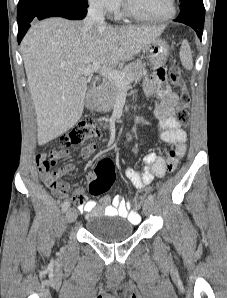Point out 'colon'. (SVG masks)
I'll return each mask as SVG.
<instances>
[{
    "instance_id": "1",
    "label": "colon",
    "mask_w": 227,
    "mask_h": 298,
    "mask_svg": "<svg viewBox=\"0 0 227 298\" xmlns=\"http://www.w3.org/2000/svg\"><path fill=\"white\" fill-rule=\"evenodd\" d=\"M169 77L171 82L178 88L182 89L181 103L182 106L175 114L176 121L185 126L189 123L190 119V96L183 90V78L178 67L171 66L169 68ZM101 130L95 121L89 119L77 124L67 133L63 134L60 138V143L63 148H67L74 145L82 144L94 137H99ZM115 179L114 165L110 159H102L98 162L95 171L94 178L90 180L89 190L93 195H102L107 192L112 186ZM151 191L150 188L140 191L135 197V204L141 205L146 195Z\"/></svg>"
}]
</instances>
